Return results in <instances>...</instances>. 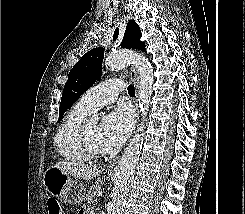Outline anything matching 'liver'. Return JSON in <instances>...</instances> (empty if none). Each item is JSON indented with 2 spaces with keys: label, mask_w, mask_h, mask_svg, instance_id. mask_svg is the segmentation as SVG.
Listing matches in <instances>:
<instances>
[{
  "label": "liver",
  "mask_w": 245,
  "mask_h": 214,
  "mask_svg": "<svg viewBox=\"0 0 245 214\" xmlns=\"http://www.w3.org/2000/svg\"><path fill=\"white\" fill-rule=\"evenodd\" d=\"M53 167L59 168L69 175L79 179L90 180L97 177L101 170L96 166H79L73 162L56 163Z\"/></svg>",
  "instance_id": "liver-1"
}]
</instances>
